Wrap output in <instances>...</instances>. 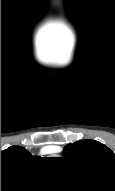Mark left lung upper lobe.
I'll return each mask as SVG.
<instances>
[{
  "label": "left lung upper lobe",
  "instance_id": "5c2ea615",
  "mask_svg": "<svg viewBox=\"0 0 115 191\" xmlns=\"http://www.w3.org/2000/svg\"><path fill=\"white\" fill-rule=\"evenodd\" d=\"M65 158L76 160L91 166H101L109 171L114 170L115 154L108 147L95 140H80L67 144Z\"/></svg>",
  "mask_w": 115,
  "mask_h": 191
}]
</instances>
